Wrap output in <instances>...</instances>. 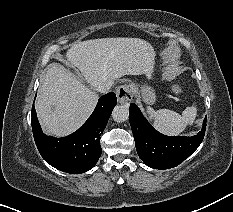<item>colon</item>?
Masks as SVG:
<instances>
[{
    "mask_svg": "<svg viewBox=\"0 0 233 212\" xmlns=\"http://www.w3.org/2000/svg\"><path fill=\"white\" fill-rule=\"evenodd\" d=\"M172 91L175 93V94H181L182 93V89L179 85L177 84H174L172 86Z\"/></svg>",
    "mask_w": 233,
    "mask_h": 212,
    "instance_id": "colon-1",
    "label": "colon"
}]
</instances>
